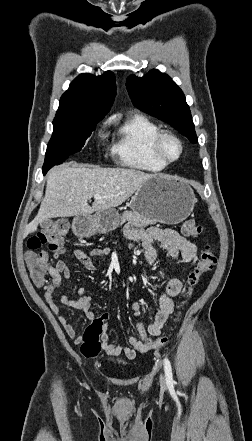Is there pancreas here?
Listing matches in <instances>:
<instances>
[{
	"label": "pancreas",
	"instance_id": "pancreas-1",
	"mask_svg": "<svg viewBox=\"0 0 252 441\" xmlns=\"http://www.w3.org/2000/svg\"><path fill=\"white\" fill-rule=\"evenodd\" d=\"M125 221H134L140 223L143 226H148L156 223L155 220L148 219L134 211H125L122 214L121 222H125Z\"/></svg>",
	"mask_w": 252,
	"mask_h": 441
}]
</instances>
